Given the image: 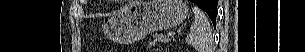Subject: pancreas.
<instances>
[{"label": "pancreas", "mask_w": 305, "mask_h": 52, "mask_svg": "<svg viewBox=\"0 0 305 52\" xmlns=\"http://www.w3.org/2000/svg\"><path fill=\"white\" fill-rule=\"evenodd\" d=\"M170 40L171 39L166 35H155L153 41H150L149 44L153 45L155 43H160V42L166 43L169 42Z\"/></svg>", "instance_id": "pancreas-1"}]
</instances>
